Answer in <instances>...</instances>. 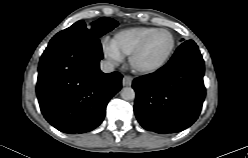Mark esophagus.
<instances>
[{
  "label": "esophagus",
  "instance_id": "obj_1",
  "mask_svg": "<svg viewBox=\"0 0 248 158\" xmlns=\"http://www.w3.org/2000/svg\"><path fill=\"white\" fill-rule=\"evenodd\" d=\"M133 78L131 76H124L122 79L123 86H131Z\"/></svg>",
  "mask_w": 248,
  "mask_h": 158
}]
</instances>
